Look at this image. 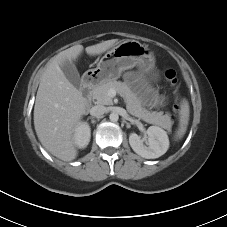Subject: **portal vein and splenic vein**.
I'll return each instance as SVG.
<instances>
[{"instance_id": "18ae733b", "label": "portal vein and splenic vein", "mask_w": 227, "mask_h": 227, "mask_svg": "<svg viewBox=\"0 0 227 227\" xmlns=\"http://www.w3.org/2000/svg\"><path fill=\"white\" fill-rule=\"evenodd\" d=\"M108 94L110 97H114L116 95V91L114 89H110Z\"/></svg>"}]
</instances>
